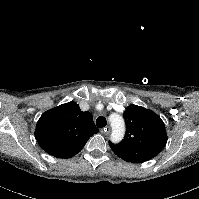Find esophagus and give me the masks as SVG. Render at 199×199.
<instances>
[{"instance_id":"34e87169","label":"esophagus","mask_w":199,"mask_h":199,"mask_svg":"<svg viewBox=\"0 0 199 199\" xmlns=\"http://www.w3.org/2000/svg\"><path fill=\"white\" fill-rule=\"evenodd\" d=\"M101 133L108 135L110 133V127L106 126L103 129H101Z\"/></svg>"}]
</instances>
